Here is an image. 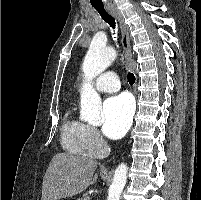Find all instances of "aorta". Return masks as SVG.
I'll use <instances>...</instances> for the list:
<instances>
[{"instance_id": "1", "label": "aorta", "mask_w": 201, "mask_h": 200, "mask_svg": "<svg viewBox=\"0 0 201 200\" xmlns=\"http://www.w3.org/2000/svg\"><path fill=\"white\" fill-rule=\"evenodd\" d=\"M116 57L117 54L113 48L93 41L83 60L82 69L85 83L81 90V118L90 124L98 125L101 122V98L94 90L92 80L110 66ZM127 170L128 167L125 163L118 165L107 200L120 199V194L127 181Z\"/></svg>"}]
</instances>
